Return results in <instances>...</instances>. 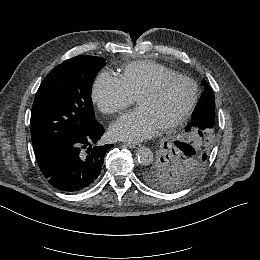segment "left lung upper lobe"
Listing matches in <instances>:
<instances>
[{
  "mask_svg": "<svg viewBox=\"0 0 260 260\" xmlns=\"http://www.w3.org/2000/svg\"><path fill=\"white\" fill-rule=\"evenodd\" d=\"M205 91L201 98L215 100L210 86L204 82ZM216 125L210 129H196L187 126L174 143H165L157 157L141 172L143 180L150 186L166 192L180 190L202 173L209 162L213 149V135ZM176 142H182L191 147L186 151Z\"/></svg>",
  "mask_w": 260,
  "mask_h": 260,
  "instance_id": "1",
  "label": "left lung upper lobe"
}]
</instances>
